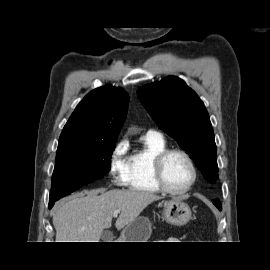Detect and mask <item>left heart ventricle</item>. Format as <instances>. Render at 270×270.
I'll use <instances>...</instances> for the list:
<instances>
[{
  "instance_id": "b2bd125f",
  "label": "left heart ventricle",
  "mask_w": 270,
  "mask_h": 270,
  "mask_svg": "<svg viewBox=\"0 0 270 270\" xmlns=\"http://www.w3.org/2000/svg\"><path fill=\"white\" fill-rule=\"evenodd\" d=\"M166 183L173 189L186 187L192 179V171L187 160L180 154H171L163 166Z\"/></svg>"
}]
</instances>
